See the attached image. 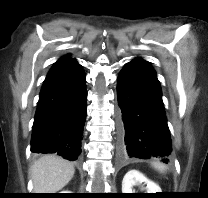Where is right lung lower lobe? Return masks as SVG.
<instances>
[{
  "label": "right lung lower lobe",
  "instance_id": "1",
  "mask_svg": "<svg viewBox=\"0 0 208 198\" xmlns=\"http://www.w3.org/2000/svg\"><path fill=\"white\" fill-rule=\"evenodd\" d=\"M86 99L85 75L76 60L49 72L34 118L31 152L76 160L81 153Z\"/></svg>",
  "mask_w": 208,
  "mask_h": 198
}]
</instances>
